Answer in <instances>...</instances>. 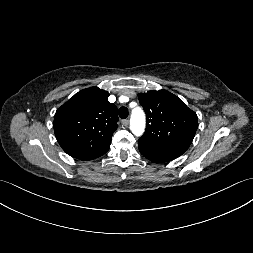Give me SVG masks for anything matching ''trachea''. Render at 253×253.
I'll return each instance as SVG.
<instances>
[{
	"instance_id": "obj_1",
	"label": "trachea",
	"mask_w": 253,
	"mask_h": 253,
	"mask_svg": "<svg viewBox=\"0 0 253 253\" xmlns=\"http://www.w3.org/2000/svg\"><path fill=\"white\" fill-rule=\"evenodd\" d=\"M128 109L126 107H120L119 109V117L121 119H126L128 117Z\"/></svg>"
}]
</instances>
